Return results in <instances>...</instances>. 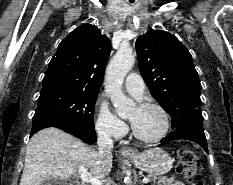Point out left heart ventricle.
Instances as JSON below:
<instances>
[{
	"mask_svg": "<svg viewBox=\"0 0 233 185\" xmlns=\"http://www.w3.org/2000/svg\"><path fill=\"white\" fill-rule=\"evenodd\" d=\"M132 126L143 137H154L164 127V118L161 112L155 108L134 107L129 115Z\"/></svg>",
	"mask_w": 233,
	"mask_h": 185,
	"instance_id": "b2bd125f",
	"label": "left heart ventricle"
}]
</instances>
